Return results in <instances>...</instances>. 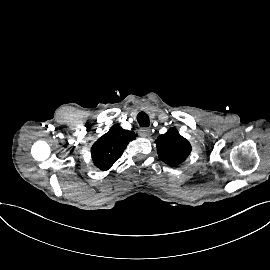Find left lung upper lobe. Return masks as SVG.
Listing matches in <instances>:
<instances>
[{
	"label": "left lung upper lobe",
	"instance_id": "1",
	"mask_svg": "<svg viewBox=\"0 0 270 270\" xmlns=\"http://www.w3.org/2000/svg\"><path fill=\"white\" fill-rule=\"evenodd\" d=\"M155 142L159 159L173 167L184 162L192 150L188 140L182 137L175 128H170Z\"/></svg>",
	"mask_w": 270,
	"mask_h": 270
}]
</instances>
